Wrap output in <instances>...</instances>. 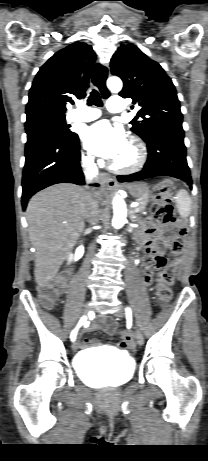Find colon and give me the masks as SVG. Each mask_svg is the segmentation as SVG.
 <instances>
[{"mask_svg": "<svg viewBox=\"0 0 208 461\" xmlns=\"http://www.w3.org/2000/svg\"><path fill=\"white\" fill-rule=\"evenodd\" d=\"M173 188V182L171 180H165L153 189L152 196L155 203L152 206V215L161 224H177L178 226H182L183 222L176 216L175 209L170 200ZM171 246L174 251L181 250L183 246L182 239L180 242H172ZM154 262L157 268H162L158 276L156 294L162 303L167 304L172 299V290L170 286L174 280L175 265L173 263H167V257L165 255L157 256ZM64 286V281L62 279H57L40 287L39 294L41 300L47 305L53 304L59 298ZM129 337L128 334L121 335L120 344L124 347V350L126 349V342ZM130 353L134 354L135 350L131 349Z\"/></svg>", "mask_w": 208, "mask_h": 461, "instance_id": "obj_1", "label": "colon"}]
</instances>
